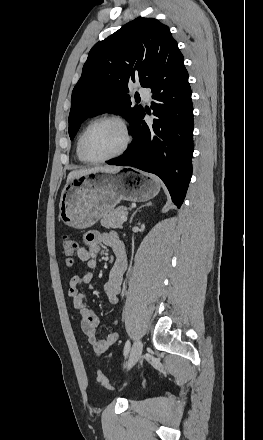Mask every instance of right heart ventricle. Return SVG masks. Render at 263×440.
Listing matches in <instances>:
<instances>
[{"mask_svg": "<svg viewBox=\"0 0 263 440\" xmlns=\"http://www.w3.org/2000/svg\"><path fill=\"white\" fill-rule=\"evenodd\" d=\"M82 132H83V131H82ZM82 132H81V133L79 134V136L77 137V140H76V146H75V153H76V156H77V158H78L79 161H81V162H85V161L81 158L80 153H79V140H80V137H81Z\"/></svg>", "mask_w": 263, "mask_h": 440, "instance_id": "obj_1", "label": "right heart ventricle"}]
</instances>
